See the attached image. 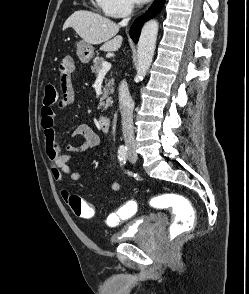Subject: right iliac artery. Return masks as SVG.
<instances>
[{
	"label": "right iliac artery",
	"instance_id": "82829eb1",
	"mask_svg": "<svg viewBox=\"0 0 249 294\" xmlns=\"http://www.w3.org/2000/svg\"><path fill=\"white\" fill-rule=\"evenodd\" d=\"M126 158H127V147L122 145L118 149V159L121 165H125Z\"/></svg>",
	"mask_w": 249,
	"mask_h": 294
}]
</instances>
